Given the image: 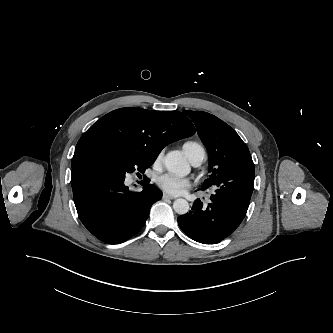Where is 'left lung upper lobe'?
<instances>
[{
  "label": "left lung upper lobe",
  "mask_w": 333,
  "mask_h": 333,
  "mask_svg": "<svg viewBox=\"0 0 333 333\" xmlns=\"http://www.w3.org/2000/svg\"><path fill=\"white\" fill-rule=\"evenodd\" d=\"M194 122L197 133L210 156L209 176L202 185V190L211 186L217 187V176L227 166L236 161L250 157L246 144L239 135L225 122L214 115L202 111H184ZM236 174L237 168L232 167Z\"/></svg>",
  "instance_id": "obj_1"
}]
</instances>
